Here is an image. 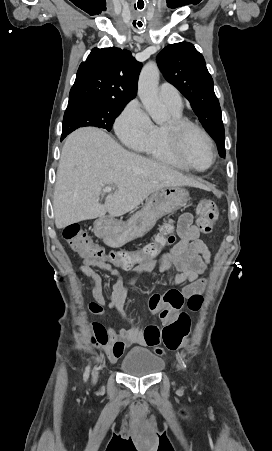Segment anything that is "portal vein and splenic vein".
I'll use <instances>...</instances> for the list:
<instances>
[{"label":"portal vein and splenic vein","mask_w":272,"mask_h":451,"mask_svg":"<svg viewBox=\"0 0 272 451\" xmlns=\"http://www.w3.org/2000/svg\"><path fill=\"white\" fill-rule=\"evenodd\" d=\"M103 192H112V188H109V186H106V188H104Z\"/></svg>","instance_id":"obj_1"}]
</instances>
